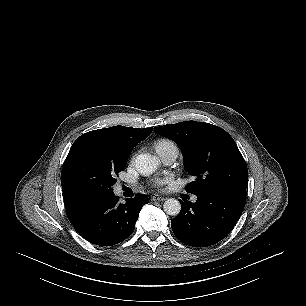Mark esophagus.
<instances>
[{
	"instance_id": "34e87169",
	"label": "esophagus",
	"mask_w": 306,
	"mask_h": 306,
	"mask_svg": "<svg viewBox=\"0 0 306 306\" xmlns=\"http://www.w3.org/2000/svg\"><path fill=\"white\" fill-rule=\"evenodd\" d=\"M165 199H166L165 197H162V196H159V195L152 196V198H151V200L154 201V202L164 201Z\"/></svg>"
}]
</instances>
